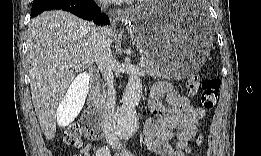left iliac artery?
Instances as JSON below:
<instances>
[{
	"mask_svg": "<svg viewBox=\"0 0 261 156\" xmlns=\"http://www.w3.org/2000/svg\"><path fill=\"white\" fill-rule=\"evenodd\" d=\"M123 156H133V154H132L129 150H126V151L123 153Z\"/></svg>",
	"mask_w": 261,
	"mask_h": 156,
	"instance_id": "left-iliac-artery-1",
	"label": "left iliac artery"
}]
</instances>
